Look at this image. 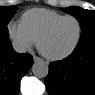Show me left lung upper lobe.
Wrapping results in <instances>:
<instances>
[{
    "instance_id": "1",
    "label": "left lung upper lobe",
    "mask_w": 95,
    "mask_h": 95,
    "mask_svg": "<svg viewBox=\"0 0 95 95\" xmlns=\"http://www.w3.org/2000/svg\"><path fill=\"white\" fill-rule=\"evenodd\" d=\"M63 11L74 15L79 20L82 27L79 43L95 37V11L80 7H68Z\"/></svg>"
}]
</instances>
